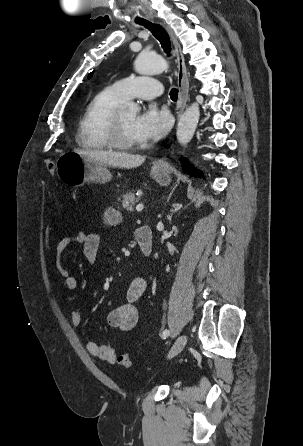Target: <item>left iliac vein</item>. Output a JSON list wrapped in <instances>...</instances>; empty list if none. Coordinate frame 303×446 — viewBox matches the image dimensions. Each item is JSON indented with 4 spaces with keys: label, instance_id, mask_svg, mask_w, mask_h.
I'll return each mask as SVG.
<instances>
[{
    "label": "left iliac vein",
    "instance_id": "obj_1",
    "mask_svg": "<svg viewBox=\"0 0 303 446\" xmlns=\"http://www.w3.org/2000/svg\"><path fill=\"white\" fill-rule=\"evenodd\" d=\"M186 343H187V336L186 335L179 336L178 339L175 341L174 345L172 346V348L170 349L167 358L171 359L177 354H179L184 349Z\"/></svg>",
    "mask_w": 303,
    "mask_h": 446
}]
</instances>
